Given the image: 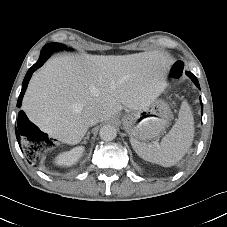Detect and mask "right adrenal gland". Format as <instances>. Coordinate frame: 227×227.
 I'll list each match as a JSON object with an SVG mask.
<instances>
[{"label": "right adrenal gland", "instance_id": "right-adrenal-gland-1", "mask_svg": "<svg viewBox=\"0 0 227 227\" xmlns=\"http://www.w3.org/2000/svg\"><path fill=\"white\" fill-rule=\"evenodd\" d=\"M89 138V132L87 133V136L84 138V141L82 142L83 144H86V139Z\"/></svg>", "mask_w": 227, "mask_h": 227}]
</instances>
